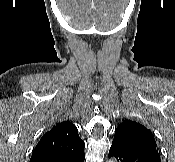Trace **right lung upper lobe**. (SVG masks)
<instances>
[{"label": "right lung upper lobe", "mask_w": 175, "mask_h": 162, "mask_svg": "<svg viewBox=\"0 0 175 162\" xmlns=\"http://www.w3.org/2000/svg\"><path fill=\"white\" fill-rule=\"evenodd\" d=\"M85 144L74 124L65 121L53 126L36 145L30 162H41L53 156H76L84 152Z\"/></svg>", "instance_id": "cb5924a9"}]
</instances>
